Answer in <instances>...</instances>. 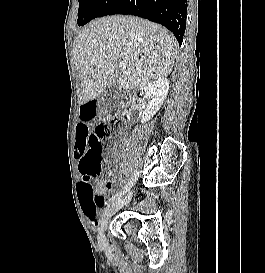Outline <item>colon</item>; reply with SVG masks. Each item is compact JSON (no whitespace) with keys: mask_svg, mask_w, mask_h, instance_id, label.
I'll return each mask as SVG.
<instances>
[{"mask_svg":"<svg viewBox=\"0 0 265 273\" xmlns=\"http://www.w3.org/2000/svg\"><path fill=\"white\" fill-rule=\"evenodd\" d=\"M120 126V119L112 117L108 122L97 124L94 129H76V153L81 157L82 180L79 184L81 194L94 193L95 187L91 177L100 171L102 144L112 140Z\"/></svg>","mask_w":265,"mask_h":273,"instance_id":"5ec220e1","label":"colon"}]
</instances>
